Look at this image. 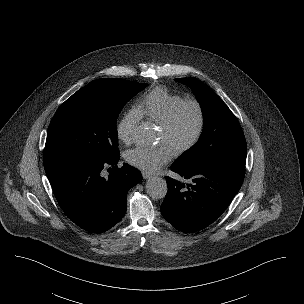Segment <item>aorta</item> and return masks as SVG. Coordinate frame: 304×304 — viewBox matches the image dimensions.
<instances>
[{
	"instance_id": "aorta-1",
	"label": "aorta",
	"mask_w": 304,
	"mask_h": 304,
	"mask_svg": "<svg viewBox=\"0 0 304 304\" xmlns=\"http://www.w3.org/2000/svg\"><path fill=\"white\" fill-rule=\"evenodd\" d=\"M138 140L141 142H148L149 135L146 128H141L138 134ZM167 183L161 177H151L146 182V191L150 197L153 199H162L167 194Z\"/></svg>"
}]
</instances>
